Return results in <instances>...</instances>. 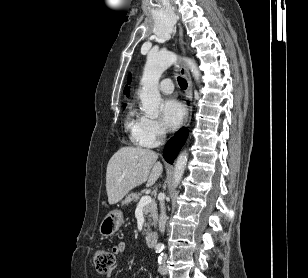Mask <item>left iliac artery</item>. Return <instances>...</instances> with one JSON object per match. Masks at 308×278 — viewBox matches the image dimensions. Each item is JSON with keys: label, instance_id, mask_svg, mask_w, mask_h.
<instances>
[{"label": "left iliac artery", "instance_id": "44dca946", "mask_svg": "<svg viewBox=\"0 0 308 278\" xmlns=\"http://www.w3.org/2000/svg\"><path fill=\"white\" fill-rule=\"evenodd\" d=\"M162 259H163V253H162V254L159 256V258H158V263H159V264H161Z\"/></svg>", "mask_w": 308, "mask_h": 278}]
</instances>
